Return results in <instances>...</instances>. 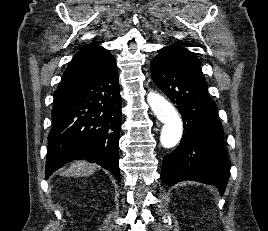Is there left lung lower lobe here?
<instances>
[{
    "mask_svg": "<svg viewBox=\"0 0 268 231\" xmlns=\"http://www.w3.org/2000/svg\"><path fill=\"white\" fill-rule=\"evenodd\" d=\"M154 83L181 113L180 144L163 159L161 179L170 187L183 180L216 186L223 194L230 174L223 128L205 79L161 58L151 60Z\"/></svg>",
    "mask_w": 268,
    "mask_h": 231,
    "instance_id": "0a47b994",
    "label": "left lung lower lobe"
}]
</instances>
